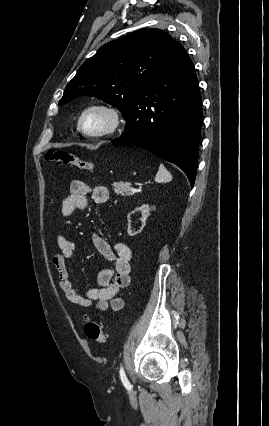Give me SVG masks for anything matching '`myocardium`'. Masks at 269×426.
Listing matches in <instances>:
<instances>
[{"instance_id":"obj_1","label":"myocardium","mask_w":269,"mask_h":426,"mask_svg":"<svg viewBox=\"0 0 269 426\" xmlns=\"http://www.w3.org/2000/svg\"><path fill=\"white\" fill-rule=\"evenodd\" d=\"M91 112H100L107 117V124L96 131H89L84 127V119ZM123 121L121 112L114 106L108 104H92L86 107L80 114L78 119L79 131L87 137H105L115 133L121 126Z\"/></svg>"}]
</instances>
